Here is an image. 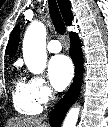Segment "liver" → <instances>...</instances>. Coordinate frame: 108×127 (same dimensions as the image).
<instances>
[{
	"mask_svg": "<svg viewBox=\"0 0 108 127\" xmlns=\"http://www.w3.org/2000/svg\"><path fill=\"white\" fill-rule=\"evenodd\" d=\"M5 127H48L42 118L15 117L10 118Z\"/></svg>",
	"mask_w": 108,
	"mask_h": 127,
	"instance_id": "obj_1",
	"label": "liver"
}]
</instances>
